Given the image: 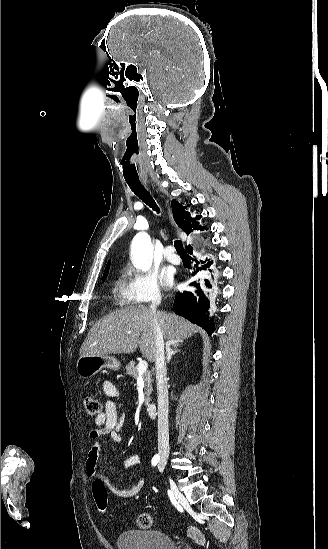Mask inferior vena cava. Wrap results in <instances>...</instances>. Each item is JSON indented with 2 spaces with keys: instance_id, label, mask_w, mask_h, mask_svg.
Masks as SVG:
<instances>
[{
  "instance_id": "obj_1",
  "label": "inferior vena cava",
  "mask_w": 328,
  "mask_h": 549,
  "mask_svg": "<svg viewBox=\"0 0 328 549\" xmlns=\"http://www.w3.org/2000/svg\"><path fill=\"white\" fill-rule=\"evenodd\" d=\"M159 305H161V299L151 301L149 305L150 313L156 315ZM153 331L155 335V373L158 393V453L160 457H164L169 453L167 369L164 357V337L156 317ZM171 343H174V341H171Z\"/></svg>"
}]
</instances>
